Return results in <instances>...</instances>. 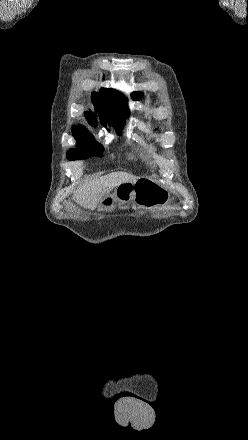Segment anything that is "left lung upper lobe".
Wrapping results in <instances>:
<instances>
[{
	"instance_id": "5c2ea615",
	"label": "left lung upper lobe",
	"mask_w": 248,
	"mask_h": 440,
	"mask_svg": "<svg viewBox=\"0 0 248 440\" xmlns=\"http://www.w3.org/2000/svg\"><path fill=\"white\" fill-rule=\"evenodd\" d=\"M132 99L134 100H140L141 98V93L140 92H133L131 95Z\"/></svg>"
}]
</instances>
